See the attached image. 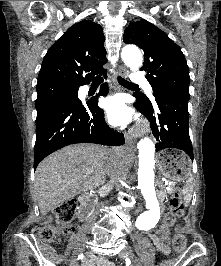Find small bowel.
Instances as JSON below:
<instances>
[{"label":"small bowel","mask_w":221,"mask_h":266,"mask_svg":"<svg viewBox=\"0 0 221 266\" xmlns=\"http://www.w3.org/2000/svg\"><path fill=\"white\" fill-rule=\"evenodd\" d=\"M182 228L181 227H178L177 228V231H181ZM150 238L153 240V242L155 243L156 247L158 248V250L166 255L169 253V246L167 244V242H161L158 238L157 235L155 234H151L150 235ZM86 266H115L114 263L109 260L108 258L106 257H97V258H89L87 261H86Z\"/></svg>","instance_id":"1"}]
</instances>
